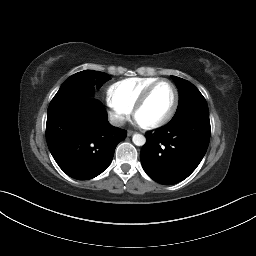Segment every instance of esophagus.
I'll return each instance as SVG.
<instances>
[{
    "label": "esophagus",
    "mask_w": 256,
    "mask_h": 256,
    "mask_svg": "<svg viewBox=\"0 0 256 256\" xmlns=\"http://www.w3.org/2000/svg\"><path fill=\"white\" fill-rule=\"evenodd\" d=\"M133 134H134V131H132V130H128V131H127V135H128V136H131V135H133Z\"/></svg>",
    "instance_id": "obj_1"
}]
</instances>
